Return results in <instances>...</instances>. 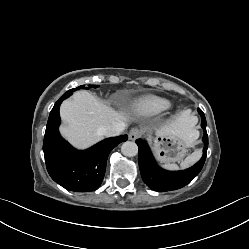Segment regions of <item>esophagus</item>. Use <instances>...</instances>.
<instances>
[{
  "instance_id": "34e87169",
  "label": "esophagus",
  "mask_w": 249,
  "mask_h": 249,
  "mask_svg": "<svg viewBox=\"0 0 249 249\" xmlns=\"http://www.w3.org/2000/svg\"><path fill=\"white\" fill-rule=\"evenodd\" d=\"M142 136V131L135 128L132 129L129 133V139L132 141H135L136 139L140 138Z\"/></svg>"
}]
</instances>
